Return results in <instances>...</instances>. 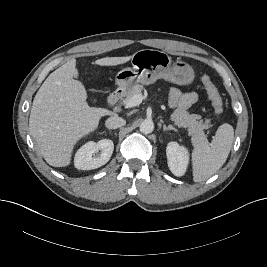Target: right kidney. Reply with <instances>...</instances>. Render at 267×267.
<instances>
[{
	"mask_svg": "<svg viewBox=\"0 0 267 267\" xmlns=\"http://www.w3.org/2000/svg\"><path fill=\"white\" fill-rule=\"evenodd\" d=\"M114 144L110 139L87 142L75 154L74 165L79 170H91L105 165L111 158ZM101 153L95 156L96 153Z\"/></svg>",
	"mask_w": 267,
	"mask_h": 267,
	"instance_id": "ca27d5eb",
	"label": "right kidney"
}]
</instances>
